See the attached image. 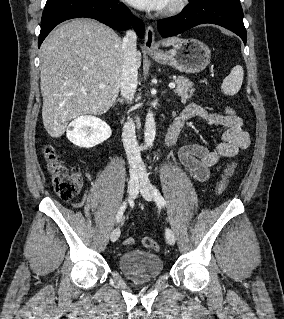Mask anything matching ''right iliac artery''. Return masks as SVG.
Segmentation results:
<instances>
[{"label":"right iliac artery","mask_w":284,"mask_h":319,"mask_svg":"<svg viewBox=\"0 0 284 319\" xmlns=\"http://www.w3.org/2000/svg\"><path fill=\"white\" fill-rule=\"evenodd\" d=\"M126 206H127V201L123 202V204L121 205V207H120V209H119V211L117 213V216H116L117 222H119L121 220V218L123 216V213H124V211L126 209Z\"/></svg>","instance_id":"right-iliac-artery-1"}]
</instances>
